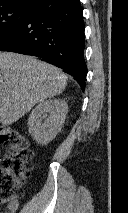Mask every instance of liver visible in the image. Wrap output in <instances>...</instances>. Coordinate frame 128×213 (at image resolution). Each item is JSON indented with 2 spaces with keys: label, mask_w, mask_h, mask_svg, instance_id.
Here are the masks:
<instances>
[{
  "label": "liver",
  "mask_w": 128,
  "mask_h": 213,
  "mask_svg": "<svg viewBox=\"0 0 128 213\" xmlns=\"http://www.w3.org/2000/svg\"><path fill=\"white\" fill-rule=\"evenodd\" d=\"M61 69L35 57L0 51V123L11 125L67 85Z\"/></svg>",
  "instance_id": "6515ba94"
}]
</instances>
